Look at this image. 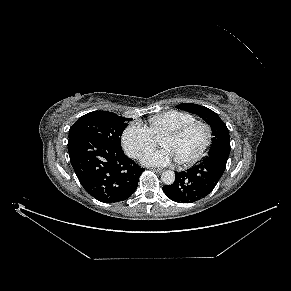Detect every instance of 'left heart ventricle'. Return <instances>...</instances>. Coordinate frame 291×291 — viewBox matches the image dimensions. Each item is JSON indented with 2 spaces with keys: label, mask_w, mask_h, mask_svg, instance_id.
Instances as JSON below:
<instances>
[{
  "label": "left heart ventricle",
  "mask_w": 291,
  "mask_h": 291,
  "mask_svg": "<svg viewBox=\"0 0 291 291\" xmlns=\"http://www.w3.org/2000/svg\"><path fill=\"white\" fill-rule=\"evenodd\" d=\"M205 141V131L196 127L179 138L166 137L161 140L163 147L170 148L177 160H187L196 155Z\"/></svg>",
  "instance_id": "b2bd125f"
}]
</instances>
